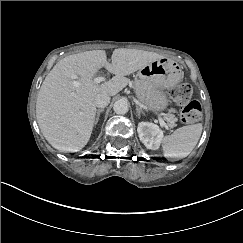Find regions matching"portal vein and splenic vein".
I'll return each mask as SVG.
<instances>
[{
    "label": "portal vein and splenic vein",
    "mask_w": 243,
    "mask_h": 243,
    "mask_svg": "<svg viewBox=\"0 0 243 243\" xmlns=\"http://www.w3.org/2000/svg\"><path fill=\"white\" fill-rule=\"evenodd\" d=\"M106 80H107L106 77L99 76L95 78V83L103 82ZM158 122H159V126L162 128V131L166 132L168 130V126L164 123L163 119L159 118Z\"/></svg>",
    "instance_id": "obj_1"
}]
</instances>
